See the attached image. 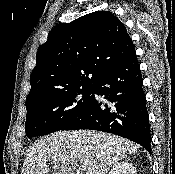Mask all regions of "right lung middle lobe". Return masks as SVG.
Here are the masks:
<instances>
[{
  "label": "right lung middle lobe",
  "mask_w": 175,
  "mask_h": 174,
  "mask_svg": "<svg viewBox=\"0 0 175 174\" xmlns=\"http://www.w3.org/2000/svg\"><path fill=\"white\" fill-rule=\"evenodd\" d=\"M94 85L70 89L26 106L27 137L44 136L62 130L89 105Z\"/></svg>",
  "instance_id": "right-lung-middle-lobe-1"
}]
</instances>
